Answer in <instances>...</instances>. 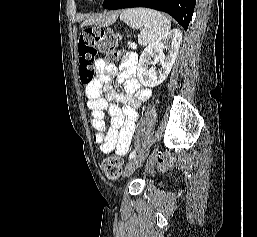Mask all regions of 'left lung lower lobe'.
Segmentation results:
<instances>
[{"mask_svg":"<svg viewBox=\"0 0 257 237\" xmlns=\"http://www.w3.org/2000/svg\"><path fill=\"white\" fill-rule=\"evenodd\" d=\"M195 4L196 0H108L103 7L108 10L147 7L164 11L187 30Z\"/></svg>","mask_w":257,"mask_h":237,"instance_id":"obj_1","label":"left lung lower lobe"}]
</instances>
